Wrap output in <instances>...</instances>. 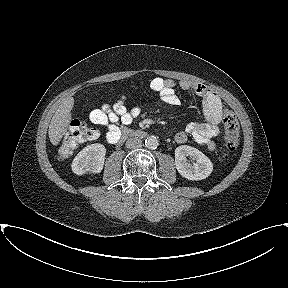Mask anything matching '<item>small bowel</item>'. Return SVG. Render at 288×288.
I'll return each instance as SVG.
<instances>
[{
    "label": "small bowel",
    "mask_w": 288,
    "mask_h": 288,
    "mask_svg": "<svg viewBox=\"0 0 288 288\" xmlns=\"http://www.w3.org/2000/svg\"><path fill=\"white\" fill-rule=\"evenodd\" d=\"M182 90L189 91L193 95L201 98L205 122H190L186 128L175 135V141L183 144L191 136L197 143L205 146L208 151L215 149L213 138L219 133V124L223 115V103L219 96L200 83L188 80H181L178 84L172 79L156 77L150 82V88L157 92L161 100L171 106H178L181 103L180 97L176 93V86ZM141 113V108L135 106L128 109L126 97L122 96L113 104H104L100 108L94 109L89 114L90 121L107 130L106 139L110 143H116L125 127L129 125Z\"/></svg>",
    "instance_id": "c3829d8e"
}]
</instances>
